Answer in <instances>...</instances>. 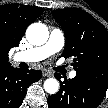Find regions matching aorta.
Returning a JSON list of instances; mask_svg holds the SVG:
<instances>
[{
    "instance_id": "obj_1",
    "label": "aorta",
    "mask_w": 108,
    "mask_h": 108,
    "mask_svg": "<svg viewBox=\"0 0 108 108\" xmlns=\"http://www.w3.org/2000/svg\"><path fill=\"white\" fill-rule=\"evenodd\" d=\"M27 40L35 46L43 45L49 38V31L42 23H32L26 31ZM44 90L49 94H55L59 90V82L55 78H49L44 82Z\"/></svg>"
}]
</instances>
